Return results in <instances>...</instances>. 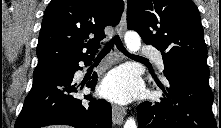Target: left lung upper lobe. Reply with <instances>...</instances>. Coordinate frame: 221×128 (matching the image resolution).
<instances>
[{"label":"left lung upper lobe","mask_w":221,"mask_h":128,"mask_svg":"<svg viewBox=\"0 0 221 128\" xmlns=\"http://www.w3.org/2000/svg\"><path fill=\"white\" fill-rule=\"evenodd\" d=\"M127 27L162 52L164 64L209 73L199 11L191 0H128Z\"/></svg>","instance_id":"5c2ea615"}]
</instances>
